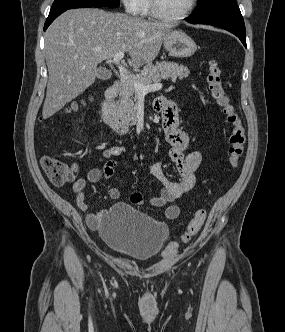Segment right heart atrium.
Masks as SVG:
<instances>
[{
  "label": "right heart atrium",
  "instance_id": "obj_1",
  "mask_svg": "<svg viewBox=\"0 0 285 332\" xmlns=\"http://www.w3.org/2000/svg\"><path fill=\"white\" fill-rule=\"evenodd\" d=\"M143 0H121L125 11L128 14L136 15L140 12Z\"/></svg>",
  "mask_w": 285,
  "mask_h": 332
}]
</instances>
